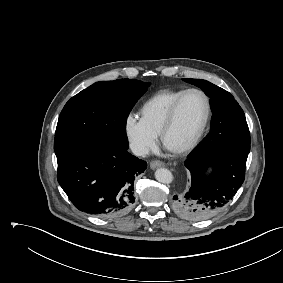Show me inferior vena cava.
I'll use <instances>...</instances> for the list:
<instances>
[{
  "label": "inferior vena cava",
  "mask_w": 283,
  "mask_h": 283,
  "mask_svg": "<svg viewBox=\"0 0 283 283\" xmlns=\"http://www.w3.org/2000/svg\"><path fill=\"white\" fill-rule=\"evenodd\" d=\"M130 148L131 151L137 156H144L149 152L148 148L141 144L133 143L131 144Z\"/></svg>",
  "instance_id": "obj_1"
}]
</instances>
